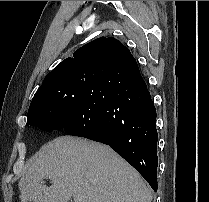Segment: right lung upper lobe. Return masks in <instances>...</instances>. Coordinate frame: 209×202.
Instances as JSON below:
<instances>
[{
	"mask_svg": "<svg viewBox=\"0 0 209 202\" xmlns=\"http://www.w3.org/2000/svg\"><path fill=\"white\" fill-rule=\"evenodd\" d=\"M132 60L134 57L121 42L112 37H100L76 50L73 58H66L58 64L46 75L37 92L53 77L75 73L100 77L110 69H125ZM30 122L27 118V126Z\"/></svg>",
	"mask_w": 209,
	"mask_h": 202,
	"instance_id": "right-lung-upper-lobe-1",
	"label": "right lung upper lobe"
}]
</instances>
